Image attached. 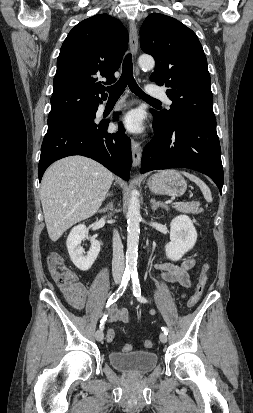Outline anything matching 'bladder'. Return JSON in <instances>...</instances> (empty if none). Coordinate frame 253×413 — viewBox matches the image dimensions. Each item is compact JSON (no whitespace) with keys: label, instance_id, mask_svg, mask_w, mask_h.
Wrapping results in <instances>:
<instances>
[{"label":"bladder","instance_id":"1","mask_svg":"<svg viewBox=\"0 0 253 413\" xmlns=\"http://www.w3.org/2000/svg\"><path fill=\"white\" fill-rule=\"evenodd\" d=\"M109 363L115 369L131 375H143L152 371L158 363V356L153 351L136 350L131 352H111Z\"/></svg>","mask_w":253,"mask_h":413}]
</instances>
